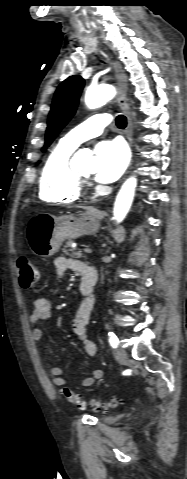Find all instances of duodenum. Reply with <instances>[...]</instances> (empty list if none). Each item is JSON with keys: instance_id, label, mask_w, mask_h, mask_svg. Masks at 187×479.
Returning <instances> with one entry per match:
<instances>
[{"instance_id": "410a0bca", "label": "duodenum", "mask_w": 187, "mask_h": 479, "mask_svg": "<svg viewBox=\"0 0 187 479\" xmlns=\"http://www.w3.org/2000/svg\"><path fill=\"white\" fill-rule=\"evenodd\" d=\"M92 267V266H90ZM93 268V267H92ZM87 269L84 279L80 284V292L86 297L90 298L94 294V290L97 284V274L93 268Z\"/></svg>"}]
</instances>
